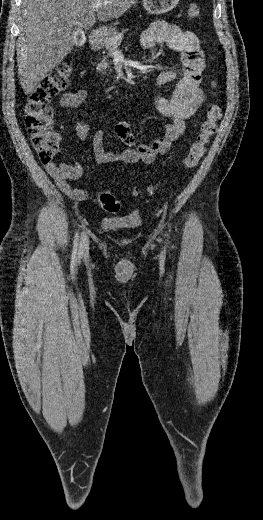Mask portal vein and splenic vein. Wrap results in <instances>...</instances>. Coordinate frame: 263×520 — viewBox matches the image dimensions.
<instances>
[{
	"mask_svg": "<svg viewBox=\"0 0 263 520\" xmlns=\"http://www.w3.org/2000/svg\"><path fill=\"white\" fill-rule=\"evenodd\" d=\"M101 6H102V3L98 2V3H95V4L93 5V8H94V9H98V8L101 7Z\"/></svg>",
	"mask_w": 263,
	"mask_h": 520,
	"instance_id": "obj_1",
	"label": "portal vein and splenic vein"
}]
</instances>
